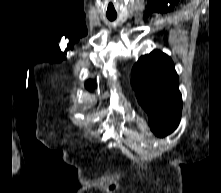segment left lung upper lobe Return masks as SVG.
Masks as SVG:
<instances>
[{
    "label": "left lung upper lobe",
    "instance_id": "5c2ea615",
    "mask_svg": "<svg viewBox=\"0 0 221 193\" xmlns=\"http://www.w3.org/2000/svg\"><path fill=\"white\" fill-rule=\"evenodd\" d=\"M131 81L154 134L165 137L172 133L180 122L182 98L171 58L159 50L141 56Z\"/></svg>",
    "mask_w": 221,
    "mask_h": 193
}]
</instances>
